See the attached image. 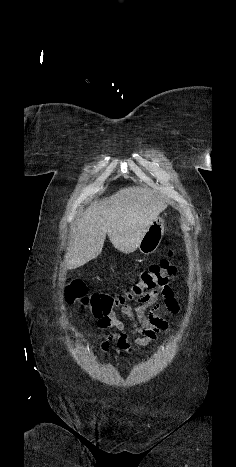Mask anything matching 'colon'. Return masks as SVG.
<instances>
[{
  "label": "colon",
  "instance_id": "obj_1",
  "mask_svg": "<svg viewBox=\"0 0 236 467\" xmlns=\"http://www.w3.org/2000/svg\"><path fill=\"white\" fill-rule=\"evenodd\" d=\"M175 256V252L170 250L167 257L142 271L130 288L119 294H87L83 281L72 280L65 287V301L70 305L79 304L80 309H88L95 317L108 316L116 308L123 307L130 301L142 299L163 289L169 278L176 273Z\"/></svg>",
  "mask_w": 236,
  "mask_h": 467
}]
</instances>
